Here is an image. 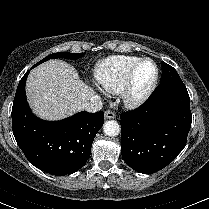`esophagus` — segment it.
<instances>
[{"label": "esophagus", "instance_id": "34e87169", "mask_svg": "<svg viewBox=\"0 0 209 209\" xmlns=\"http://www.w3.org/2000/svg\"><path fill=\"white\" fill-rule=\"evenodd\" d=\"M105 119H114L116 117L113 111L107 110L104 115Z\"/></svg>", "mask_w": 209, "mask_h": 209}]
</instances>
